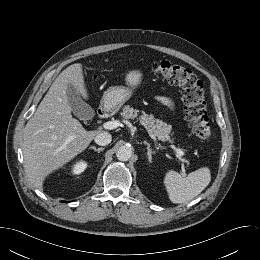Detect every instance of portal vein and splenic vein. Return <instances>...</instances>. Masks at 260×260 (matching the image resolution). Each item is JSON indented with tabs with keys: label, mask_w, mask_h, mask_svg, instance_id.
Returning <instances> with one entry per match:
<instances>
[{
	"label": "portal vein and splenic vein",
	"mask_w": 260,
	"mask_h": 260,
	"mask_svg": "<svg viewBox=\"0 0 260 260\" xmlns=\"http://www.w3.org/2000/svg\"><path fill=\"white\" fill-rule=\"evenodd\" d=\"M121 126V123L120 121L118 120H113V121H108V122H105L103 124V127L105 129H108V130H112V129H116L117 127ZM175 149V152L177 153V157L178 159L181 161V162H184V159L182 158L183 155H184V152L181 150V149H178V148H174ZM181 172H182V175L183 176H186V173H185V168L184 166L182 165L181 167Z\"/></svg>",
	"instance_id": "portal-vein-and-splenic-vein-1"
}]
</instances>
